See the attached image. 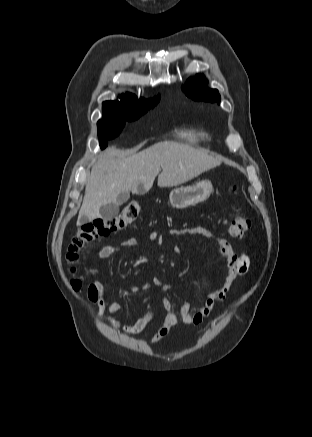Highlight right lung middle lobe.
I'll return each instance as SVG.
<instances>
[{"instance_id":"right-lung-middle-lobe-1","label":"right lung middle lobe","mask_w":312,"mask_h":437,"mask_svg":"<svg viewBox=\"0 0 312 437\" xmlns=\"http://www.w3.org/2000/svg\"><path fill=\"white\" fill-rule=\"evenodd\" d=\"M143 115V114H142ZM141 115L131 118H116V117H104L97 123L98 126V136L102 141H100V147L104 148L107 145L106 139H111L116 137L122 130L125 122L134 121L138 119Z\"/></svg>"}]
</instances>
